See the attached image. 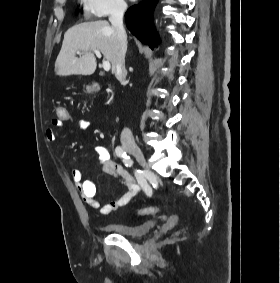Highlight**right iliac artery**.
<instances>
[{"label": "right iliac artery", "instance_id": "obj_1", "mask_svg": "<svg viewBox=\"0 0 280 283\" xmlns=\"http://www.w3.org/2000/svg\"><path fill=\"white\" fill-rule=\"evenodd\" d=\"M115 153L118 157L123 159L125 166L131 167L133 165V161L127 155L124 148H122L121 146H117L116 149H115ZM134 174H135L137 181L140 183V185L143 186L144 188H147L148 187L147 183H146L145 179L143 178L141 171L138 170V169H135ZM146 190L149 191L148 189H146ZM147 195L149 196V193H147Z\"/></svg>", "mask_w": 280, "mask_h": 283}]
</instances>
